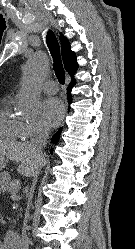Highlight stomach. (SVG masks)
I'll list each match as a JSON object with an SVG mask.
<instances>
[{"label": "stomach", "mask_w": 135, "mask_h": 249, "mask_svg": "<svg viewBox=\"0 0 135 249\" xmlns=\"http://www.w3.org/2000/svg\"><path fill=\"white\" fill-rule=\"evenodd\" d=\"M6 164V159L5 157L0 156V172L3 170ZM10 178L7 176L6 173L1 172L0 173V187L3 188L8 184Z\"/></svg>", "instance_id": "0dacf381"}]
</instances>
